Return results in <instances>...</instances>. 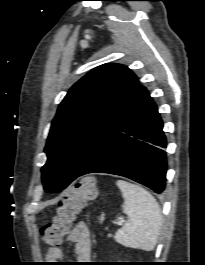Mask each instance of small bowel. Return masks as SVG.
Here are the masks:
<instances>
[{
  "mask_svg": "<svg viewBox=\"0 0 205 265\" xmlns=\"http://www.w3.org/2000/svg\"><path fill=\"white\" fill-rule=\"evenodd\" d=\"M66 242L74 244L77 259L85 263L91 259L92 241L88 226L84 222L77 223L68 233ZM64 252L61 247H50L46 253V260L57 262L62 260Z\"/></svg>",
  "mask_w": 205,
  "mask_h": 265,
  "instance_id": "small-bowel-1",
  "label": "small bowel"
}]
</instances>
